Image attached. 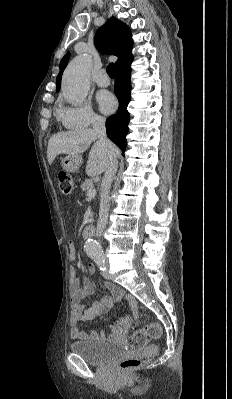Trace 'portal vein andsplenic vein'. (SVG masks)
<instances>
[{
    "mask_svg": "<svg viewBox=\"0 0 232 399\" xmlns=\"http://www.w3.org/2000/svg\"><path fill=\"white\" fill-rule=\"evenodd\" d=\"M87 196H89V198H94V196H96V190H89Z\"/></svg>",
    "mask_w": 232,
    "mask_h": 399,
    "instance_id": "portal-vein-and-splenic-vein-1",
    "label": "portal vein and splenic vein"
}]
</instances>
